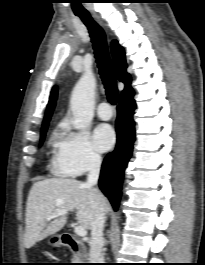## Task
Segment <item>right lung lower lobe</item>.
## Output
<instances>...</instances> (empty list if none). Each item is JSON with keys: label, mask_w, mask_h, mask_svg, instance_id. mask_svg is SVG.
I'll return each instance as SVG.
<instances>
[{"label": "right lung lower lobe", "mask_w": 205, "mask_h": 265, "mask_svg": "<svg viewBox=\"0 0 205 265\" xmlns=\"http://www.w3.org/2000/svg\"><path fill=\"white\" fill-rule=\"evenodd\" d=\"M136 104L133 98L119 101L117 107V144L102 164L99 187L110 200L114 210L118 209L124 169L131 157L135 140L134 121L132 119Z\"/></svg>", "instance_id": "1"}]
</instances>
